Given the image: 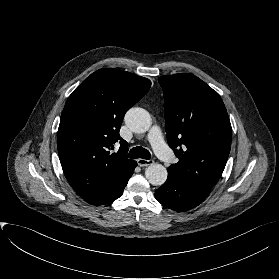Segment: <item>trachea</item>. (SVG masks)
<instances>
[{"instance_id":"obj_1","label":"trachea","mask_w":279,"mask_h":279,"mask_svg":"<svg viewBox=\"0 0 279 279\" xmlns=\"http://www.w3.org/2000/svg\"><path fill=\"white\" fill-rule=\"evenodd\" d=\"M129 158H142V159H146L149 160L151 157V154L148 150L142 148L141 146L139 147H134L130 150L129 154H128Z\"/></svg>"}]
</instances>
